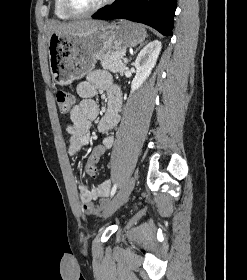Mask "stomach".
<instances>
[{"mask_svg": "<svg viewBox=\"0 0 247 280\" xmlns=\"http://www.w3.org/2000/svg\"><path fill=\"white\" fill-rule=\"evenodd\" d=\"M146 36L144 27L126 20L105 23L84 34L52 33L48 38L52 78L59 85L71 84L90 72L98 59L134 47Z\"/></svg>", "mask_w": 247, "mask_h": 280, "instance_id": "stomach-1", "label": "stomach"}]
</instances>
